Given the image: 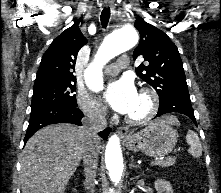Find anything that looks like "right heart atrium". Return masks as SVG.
Masks as SVG:
<instances>
[{
	"instance_id": "1",
	"label": "right heart atrium",
	"mask_w": 221,
	"mask_h": 193,
	"mask_svg": "<svg viewBox=\"0 0 221 193\" xmlns=\"http://www.w3.org/2000/svg\"><path fill=\"white\" fill-rule=\"evenodd\" d=\"M76 102L80 110L89 118L102 121L106 118L107 111L105 107L87 94L77 95Z\"/></svg>"
}]
</instances>
